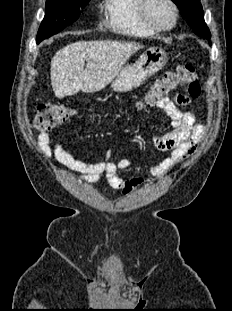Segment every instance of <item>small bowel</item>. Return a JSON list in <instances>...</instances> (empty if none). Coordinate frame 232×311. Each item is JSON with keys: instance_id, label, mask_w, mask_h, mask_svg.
<instances>
[{"instance_id": "1", "label": "small bowel", "mask_w": 232, "mask_h": 311, "mask_svg": "<svg viewBox=\"0 0 232 311\" xmlns=\"http://www.w3.org/2000/svg\"><path fill=\"white\" fill-rule=\"evenodd\" d=\"M190 104L191 98L183 94H177L173 98L164 97L156 102L155 106L169 118L172 130L161 135L148 130L155 148L170 152L168 157L150 169V177L124 179L118 174L120 170L133 166L136 163L134 159L121 158L111 161L110 156H106L94 163L84 162L72 156L59 141H51L47 133L41 134L37 143L43 156L50 162H55L61 171H73L70 175L72 178L89 183H96L105 178L111 188L128 195L154 183L195 151L204 134V128L196 122L192 112H183L179 108Z\"/></svg>"}]
</instances>
